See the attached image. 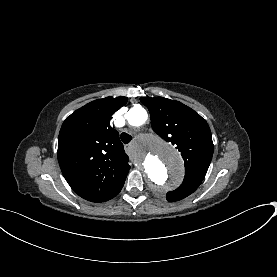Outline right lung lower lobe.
<instances>
[{
	"label": "right lung lower lobe",
	"instance_id": "1",
	"mask_svg": "<svg viewBox=\"0 0 277 277\" xmlns=\"http://www.w3.org/2000/svg\"><path fill=\"white\" fill-rule=\"evenodd\" d=\"M70 165L74 166L73 171L75 173L82 172L84 170L96 169L93 165L86 164L83 161H75V158L72 159V162L70 163ZM96 172L98 173L97 178H103L104 180H106L107 178H109L111 176V173L114 172V169L112 168L111 165H109V167H105V168L103 166H101L99 169H96Z\"/></svg>",
	"mask_w": 277,
	"mask_h": 277
}]
</instances>
